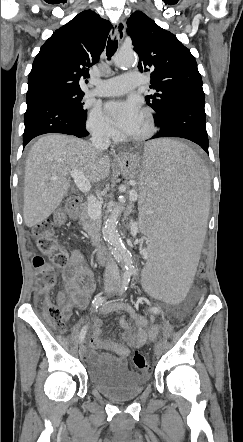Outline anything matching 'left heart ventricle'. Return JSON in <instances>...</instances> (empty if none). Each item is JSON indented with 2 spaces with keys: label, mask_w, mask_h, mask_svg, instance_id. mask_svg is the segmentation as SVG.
Masks as SVG:
<instances>
[{
  "label": "left heart ventricle",
  "mask_w": 243,
  "mask_h": 442,
  "mask_svg": "<svg viewBox=\"0 0 243 442\" xmlns=\"http://www.w3.org/2000/svg\"><path fill=\"white\" fill-rule=\"evenodd\" d=\"M148 129V121L146 116L142 113L140 119L138 120L135 127L131 130V132L128 134L129 136H137L140 134H143Z\"/></svg>",
  "instance_id": "obj_1"
}]
</instances>
